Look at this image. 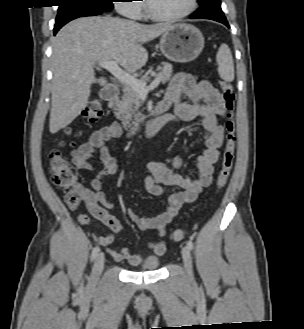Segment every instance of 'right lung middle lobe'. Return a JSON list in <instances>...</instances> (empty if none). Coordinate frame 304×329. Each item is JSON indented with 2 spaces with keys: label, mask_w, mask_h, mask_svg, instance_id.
<instances>
[{
  "label": "right lung middle lobe",
  "mask_w": 304,
  "mask_h": 329,
  "mask_svg": "<svg viewBox=\"0 0 304 329\" xmlns=\"http://www.w3.org/2000/svg\"><path fill=\"white\" fill-rule=\"evenodd\" d=\"M59 8L56 22L83 11L106 12L113 9L112 0H58Z\"/></svg>",
  "instance_id": "right-lung-middle-lobe-1"
}]
</instances>
